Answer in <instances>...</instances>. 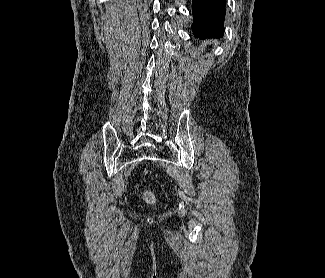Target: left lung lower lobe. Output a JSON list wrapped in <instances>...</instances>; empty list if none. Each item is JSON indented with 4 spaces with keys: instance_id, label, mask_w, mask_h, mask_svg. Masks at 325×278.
Wrapping results in <instances>:
<instances>
[{
    "instance_id": "obj_1",
    "label": "left lung lower lobe",
    "mask_w": 325,
    "mask_h": 278,
    "mask_svg": "<svg viewBox=\"0 0 325 278\" xmlns=\"http://www.w3.org/2000/svg\"><path fill=\"white\" fill-rule=\"evenodd\" d=\"M226 0H193L194 23L192 30L195 37L220 38L224 33Z\"/></svg>"
}]
</instances>
